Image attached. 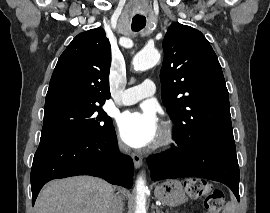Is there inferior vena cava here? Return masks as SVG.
<instances>
[{"label":"inferior vena cava","instance_id":"obj_1","mask_svg":"<svg viewBox=\"0 0 270 213\" xmlns=\"http://www.w3.org/2000/svg\"><path fill=\"white\" fill-rule=\"evenodd\" d=\"M122 149L127 150L126 147L121 146ZM123 201L122 198L116 195H112L110 199V211L109 213H122Z\"/></svg>","mask_w":270,"mask_h":213}]
</instances>
